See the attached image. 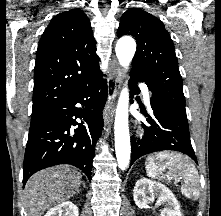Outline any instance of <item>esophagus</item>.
I'll return each mask as SVG.
<instances>
[{
	"label": "esophagus",
	"mask_w": 221,
	"mask_h": 216,
	"mask_svg": "<svg viewBox=\"0 0 221 216\" xmlns=\"http://www.w3.org/2000/svg\"><path fill=\"white\" fill-rule=\"evenodd\" d=\"M122 81V71L114 60V68L108 74L107 86H108V98L103 111V122L105 126L109 125L111 118L115 111V102L119 94Z\"/></svg>",
	"instance_id": "esophagus-1"
}]
</instances>
